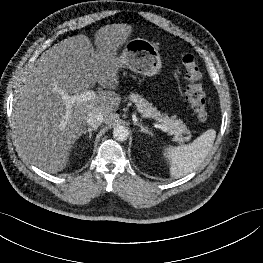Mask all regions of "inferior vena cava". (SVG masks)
<instances>
[{"mask_svg": "<svg viewBox=\"0 0 263 263\" xmlns=\"http://www.w3.org/2000/svg\"><path fill=\"white\" fill-rule=\"evenodd\" d=\"M103 121L104 115L98 110L90 111L87 114L86 123L93 128L99 127Z\"/></svg>", "mask_w": 263, "mask_h": 263, "instance_id": "obj_1", "label": "inferior vena cava"}]
</instances>
